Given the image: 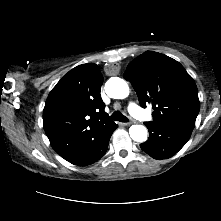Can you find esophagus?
I'll return each mask as SVG.
<instances>
[{
  "mask_svg": "<svg viewBox=\"0 0 221 221\" xmlns=\"http://www.w3.org/2000/svg\"><path fill=\"white\" fill-rule=\"evenodd\" d=\"M132 122H125V123H122V125H130Z\"/></svg>",
  "mask_w": 221,
  "mask_h": 221,
  "instance_id": "obj_1",
  "label": "esophagus"
}]
</instances>
